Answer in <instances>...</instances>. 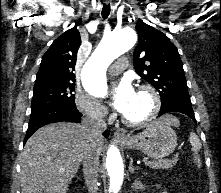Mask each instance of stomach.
Returning <instances> with one entry per match:
<instances>
[{"mask_svg":"<svg viewBox=\"0 0 221 193\" xmlns=\"http://www.w3.org/2000/svg\"><path fill=\"white\" fill-rule=\"evenodd\" d=\"M128 149L140 150L150 158L158 159L171 154L177 146V135L169 124L161 118L152 122L145 130L128 135L122 141Z\"/></svg>","mask_w":221,"mask_h":193,"instance_id":"obj_1","label":"stomach"}]
</instances>
